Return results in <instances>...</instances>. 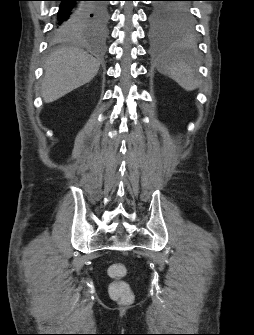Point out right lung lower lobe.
I'll return each instance as SVG.
<instances>
[{"mask_svg":"<svg viewBox=\"0 0 254 335\" xmlns=\"http://www.w3.org/2000/svg\"><path fill=\"white\" fill-rule=\"evenodd\" d=\"M59 10L52 34H60L78 28L90 33L92 26L99 20V11L95 4L100 0H58ZM86 36V35H79Z\"/></svg>","mask_w":254,"mask_h":335,"instance_id":"right-lung-lower-lobe-1","label":"right lung lower lobe"}]
</instances>
